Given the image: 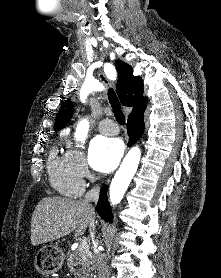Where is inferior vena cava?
Returning <instances> with one entry per match:
<instances>
[{
    "label": "inferior vena cava",
    "mask_w": 221,
    "mask_h": 278,
    "mask_svg": "<svg viewBox=\"0 0 221 278\" xmlns=\"http://www.w3.org/2000/svg\"><path fill=\"white\" fill-rule=\"evenodd\" d=\"M99 198V187L96 186L89 190L85 199L83 200L85 203L89 204V202H97ZM90 205V204H89ZM90 207H92L90 205ZM90 235L92 240H94V218L91 219L90 224ZM93 265L97 268L98 278H109V269L103 260V255L97 250L96 245L94 244V255L92 256Z\"/></svg>",
    "instance_id": "1"
}]
</instances>
